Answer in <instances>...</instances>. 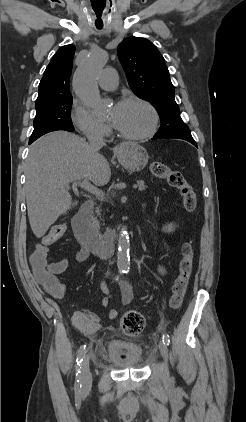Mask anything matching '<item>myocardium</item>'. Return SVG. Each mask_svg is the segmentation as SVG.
Masks as SVG:
<instances>
[{"label":"myocardium","instance_id":"f54148a6","mask_svg":"<svg viewBox=\"0 0 246 422\" xmlns=\"http://www.w3.org/2000/svg\"><path fill=\"white\" fill-rule=\"evenodd\" d=\"M130 103H138L148 109V111L151 114L150 127L145 132L141 134H136V135L128 134L119 130L118 128H115L118 136L129 141H142V140L152 137L156 133L159 126L160 117H159V113L157 109L150 101L139 96H127L119 101V104H130Z\"/></svg>","mask_w":246,"mask_h":422}]
</instances>
